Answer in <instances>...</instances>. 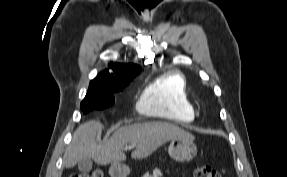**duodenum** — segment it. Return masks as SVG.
Returning <instances> with one entry per match:
<instances>
[{"label":"duodenum","mask_w":287,"mask_h":177,"mask_svg":"<svg viewBox=\"0 0 287 177\" xmlns=\"http://www.w3.org/2000/svg\"><path fill=\"white\" fill-rule=\"evenodd\" d=\"M114 172L117 175H123L124 177H127V172L124 169L117 168Z\"/></svg>","instance_id":"1"}]
</instances>
